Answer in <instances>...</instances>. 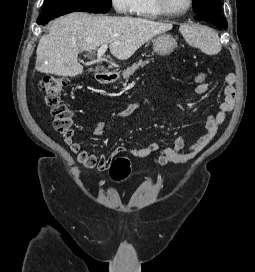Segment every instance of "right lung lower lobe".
<instances>
[{
  "label": "right lung lower lobe",
  "mask_w": 255,
  "mask_h": 272,
  "mask_svg": "<svg viewBox=\"0 0 255 272\" xmlns=\"http://www.w3.org/2000/svg\"><path fill=\"white\" fill-rule=\"evenodd\" d=\"M74 11H43L38 19H37V23L41 24V25H45L46 23H48L50 20L55 19L59 16L71 13Z\"/></svg>",
  "instance_id": "right-lung-lower-lobe-1"
}]
</instances>
